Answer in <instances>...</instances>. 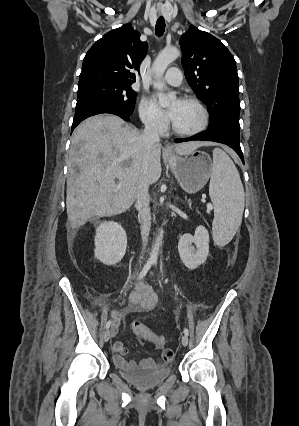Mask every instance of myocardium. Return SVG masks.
<instances>
[{"label": "myocardium", "mask_w": 299, "mask_h": 426, "mask_svg": "<svg viewBox=\"0 0 299 426\" xmlns=\"http://www.w3.org/2000/svg\"><path fill=\"white\" fill-rule=\"evenodd\" d=\"M182 101L193 103L198 107L201 113V122L197 127L190 130H181L172 124V131L180 136H194L206 130L210 122V114L204 103L195 96H185L182 98Z\"/></svg>", "instance_id": "myocardium-1"}]
</instances>
